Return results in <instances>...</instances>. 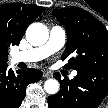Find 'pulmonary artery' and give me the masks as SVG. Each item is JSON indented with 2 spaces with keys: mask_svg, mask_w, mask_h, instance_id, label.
<instances>
[{
  "mask_svg": "<svg viewBox=\"0 0 108 108\" xmlns=\"http://www.w3.org/2000/svg\"><path fill=\"white\" fill-rule=\"evenodd\" d=\"M65 39V30L62 27L53 26L50 30L49 39L44 45L27 51L16 52L12 55L11 60L13 63H30L43 60L60 50L65 43ZM76 75L77 71H73L70 77L74 78Z\"/></svg>",
  "mask_w": 108,
  "mask_h": 108,
  "instance_id": "obj_1",
  "label": "pulmonary artery"
}]
</instances>
